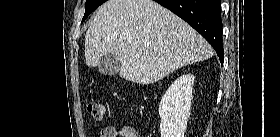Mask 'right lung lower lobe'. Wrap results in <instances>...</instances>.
I'll return each mask as SVG.
<instances>
[{
	"mask_svg": "<svg viewBox=\"0 0 280 137\" xmlns=\"http://www.w3.org/2000/svg\"><path fill=\"white\" fill-rule=\"evenodd\" d=\"M155 1L171 10L198 31L212 45L221 64L223 63L221 0Z\"/></svg>",
	"mask_w": 280,
	"mask_h": 137,
	"instance_id": "right-lung-lower-lobe-1",
	"label": "right lung lower lobe"
}]
</instances>
